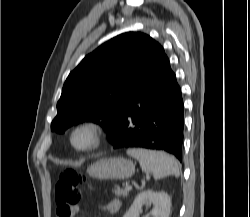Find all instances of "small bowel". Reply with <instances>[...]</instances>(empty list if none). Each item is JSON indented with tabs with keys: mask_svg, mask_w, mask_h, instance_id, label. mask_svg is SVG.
Segmentation results:
<instances>
[{
	"mask_svg": "<svg viewBox=\"0 0 250 217\" xmlns=\"http://www.w3.org/2000/svg\"><path fill=\"white\" fill-rule=\"evenodd\" d=\"M120 208H121V201L117 198L109 200L103 207L104 211H106L109 214L117 213L120 210ZM77 212H79V207L73 208L67 215L76 214ZM65 217L67 216L65 215Z\"/></svg>",
	"mask_w": 250,
	"mask_h": 217,
	"instance_id": "c3829d8e",
	"label": "small bowel"
}]
</instances>
